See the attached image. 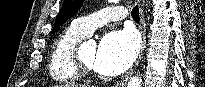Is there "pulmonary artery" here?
I'll return each mask as SVG.
<instances>
[{
    "label": "pulmonary artery",
    "mask_w": 205,
    "mask_h": 87,
    "mask_svg": "<svg viewBox=\"0 0 205 87\" xmlns=\"http://www.w3.org/2000/svg\"><path fill=\"white\" fill-rule=\"evenodd\" d=\"M126 16V10L123 7H108L87 16L75 19L71 26L77 32L87 37L97 28L113 21L125 19Z\"/></svg>",
    "instance_id": "1"
}]
</instances>
